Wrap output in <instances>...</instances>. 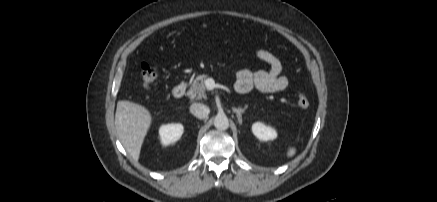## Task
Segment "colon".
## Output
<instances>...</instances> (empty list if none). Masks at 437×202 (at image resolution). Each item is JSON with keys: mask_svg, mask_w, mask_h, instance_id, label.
Segmentation results:
<instances>
[{"mask_svg": "<svg viewBox=\"0 0 437 202\" xmlns=\"http://www.w3.org/2000/svg\"><path fill=\"white\" fill-rule=\"evenodd\" d=\"M158 76L156 68L149 64H142L141 66V81L144 87L151 86ZM296 105L299 109H306L310 105L309 99L305 95H299L296 101Z\"/></svg>", "mask_w": 437, "mask_h": 202, "instance_id": "5ec220e1", "label": "colon"}]
</instances>
